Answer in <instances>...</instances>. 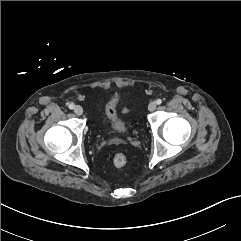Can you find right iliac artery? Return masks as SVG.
<instances>
[{
  "instance_id": "82829eb1",
  "label": "right iliac artery",
  "mask_w": 241,
  "mask_h": 241,
  "mask_svg": "<svg viewBox=\"0 0 241 241\" xmlns=\"http://www.w3.org/2000/svg\"><path fill=\"white\" fill-rule=\"evenodd\" d=\"M68 107H69V109H74V104L71 103L68 105Z\"/></svg>"
}]
</instances>
